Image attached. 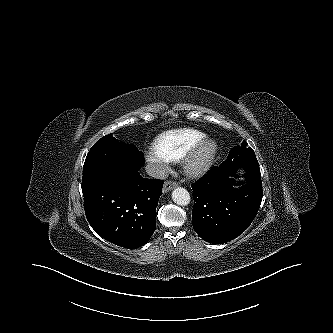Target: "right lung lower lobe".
Instances as JSON below:
<instances>
[{
  "label": "right lung lower lobe",
  "instance_id": "right-lung-lower-lobe-1",
  "mask_svg": "<svg viewBox=\"0 0 333 333\" xmlns=\"http://www.w3.org/2000/svg\"><path fill=\"white\" fill-rule=\"evenodd\" d=\"M162 180L138 170L108 173L82 182L84 209L91 227L105 240L128 249L146 244L155 231Z\"/></svg>",
  "mask_w": 333,
  "mask_h": 333
}]
</instances>
